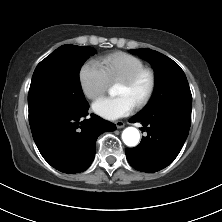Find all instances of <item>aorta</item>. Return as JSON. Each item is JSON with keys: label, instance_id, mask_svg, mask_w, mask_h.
Wrapping results in <instances>:
<instances>
[{"label": "aorta", "instance_id": "762f6f07", "mask_svg": "<svg viewBox=\"0 0 222 222\" xmlns=\"http://www.w3.org/2000/svg\"><path fill=\"white\" fill-rule=\"evenodd\" d=\"M110 93H114L113 89H110ZM122 140L128 147H135L140 140V133L135 127H127L122 132Z\"/></svg>", "mask_w": 222, "mask_h": 222}]
</instances>
